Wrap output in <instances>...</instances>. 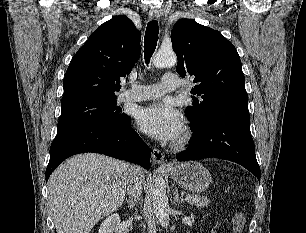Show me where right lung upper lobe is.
<instances>
[{
    "label": "right lung upper lobe",
    "mask_w": 306,
    "mask_h": 233,
    "mask_svg": "<svg viewBox=\"0 0 306 233\" xmlns=\"http://www.w3.org/2000/svg\"><path fill=\"white\" fill-rule=\"evenodd\" d=\"M141 32L126 16L103 23L77 51L65 74L62 103L82 98H116L120 77L141 53Z\"/></svg>",
    "instance_id": "right-lung-upper-lobe-1"
}]
</instances>
